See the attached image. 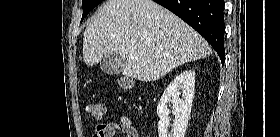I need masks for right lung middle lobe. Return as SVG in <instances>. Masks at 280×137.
Segmentation results:
<instances>
[{
    "label": "right lung middle lobe",
    "mask_w": 280,
    "mask_h": 137,
    "mask_svg": "<svg viewBox=\"0 0 280 137\" xmlns=\"http://www.w3.org/2000/svg\"><path fill=\"white\" fill-rule=\"evenodd\" d=\"M102 1L103 0H83V15L81 22L87 16V14Z\"/></svg>",
    "instance_id": "obj_1"
}]
</instances>
